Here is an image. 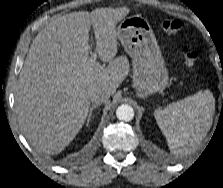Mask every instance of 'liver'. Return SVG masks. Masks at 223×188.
Instances as JSON below:
<instances>
[{"label": "liver", "instance_id": "6515ba94", "mask_svg": "<svg viewBox=\"0 0 223 188\" xmlns=\"http://www.w3.org/2000/svg\"><path fill=\"white\" fill-rule=\"evenodd\" d=\"M127 7L72 12L52 19L34 38L16 86L20 128L38 151L53 155L64 150L82 128L90 93L105 88L113 94L128 74L117 54L116 25ZM96 51L108 67L90 61V27Z\"/></svg>", "mask_w": 223, "mask_h": 188}]
</instances>
